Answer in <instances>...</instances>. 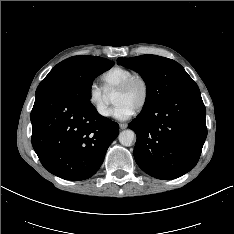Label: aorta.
<instances>
[{"instance_id": "762f6f07", "label": "aorta", "mask_w": 234, "mask_h": 234, "mask_svg": "<svg viewBox=\"0 0 234 234\" xmlns=\"http://www.w3.org/2000/svg\"><path fill=\"white\" fill-rule=\"evenodd\" d=\"M134 139H135V133H134V131H132L130 129L124 130V131L120 132V134H119V142L123 146H131Z\"/></svg>"}]
</instances>
